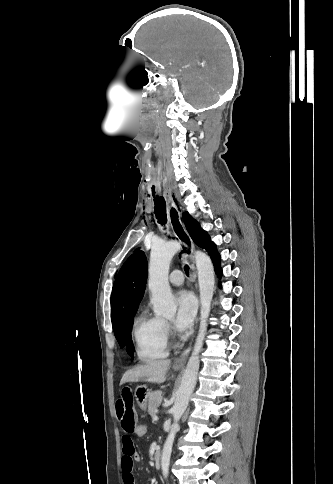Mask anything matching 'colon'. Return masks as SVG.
<instances>
[{
	"label": "colon",
	"mask_w": 333,
	"mask_h": 484,
	"mask_svg": "<svg viewBox=\"0 0 333 484\" xmlns=\"http://www.w3.org/2000/svg\"><path fill=\"white\" fill-rule=\"evenodd\" d=\"M149 432V426L146 423L140 422L137 424L134 430V435L141 439L144 438Z\"/></svg>",
	"instance_id": "5ec220e1"
}]
</instances>
